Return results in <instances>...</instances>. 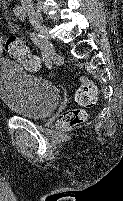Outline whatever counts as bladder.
<instances>
[{"label":"bladder","instance_id":"1","mask_svg":"<svg viewBox=\"0 0 123 201\" xmlns=\"http://www.w3.org/2000/svg\"><path fill=\"white\" fill-rule=\"evenodd\" d=\"M0 100L18 116L48 117L59 103V90L50 80L27 72L20 62L0 57Z\"/></svg>","mask_w":123,"mask_h":201}]
</instances>
